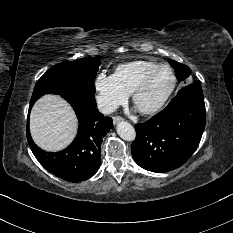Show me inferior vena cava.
<instances>
[{
	"mask_svg": "<svg viewBox=\"0 0 233 233\" xmlns=\"http://www.w3.org/2000/svg\"><path fill=\"white\" fill-rule=\"evenodd\" d=\"M98 110L104 114H110L118 108V104L103 98L97 100Z\"/></svg>",
	"mask_w": 233,
	"mask_h": 233,
	"instance_id": "1",
	"label": "inferior vena cava"
}]
</instances>
